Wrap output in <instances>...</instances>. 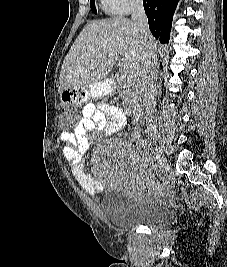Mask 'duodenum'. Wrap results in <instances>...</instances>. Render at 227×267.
<instances>
[{
  "mask_svg": "<svg viewBox=\"0 0 227 267\" xmlns=\"http://www.w3.org/2000/svg\"><path fill=\"white\" fill-rule=\"evenodd\" d=\"M120 80H121V77L118 74L113 75L111 77V81L114 84H118L120 82ZM129 112H130L133 120L136 121V122H138L142 118L144 110L141 107H139V108H137V107H130L129 108Z\"/></svg>",
  "mask_w": 227,
  "mask_h": 267,
  "instance_id": "1",
  "label": "duodenum"
}]
</instances>
